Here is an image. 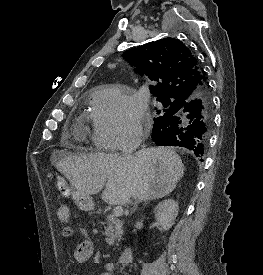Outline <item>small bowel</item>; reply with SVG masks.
<instances>
[{"label": "small bowel", "instance_id": "small-bowel-1", "mask_svg": "<svg viewBox=\"0 0 263 275\" xmlns=\"http://www.w3.org/2000/svg\"><path fill=\"white\" fill-rule=\"evenodd\" d=\"M62 234L64 237H70L73 235V229L71 227H65ZM93 255L94 247L92 243L88 240H84L76 246L73 252V259L76 263H85L89 261ZM100 275H114L113 266L111 264H106L104 271Z\"/></svg>", "mask_w": 263, "mask_h": 275}]
</instances>
